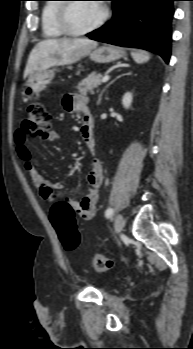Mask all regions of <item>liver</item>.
<instances>
[{
    "label": "liver",
    "instance_id": "liver-1",
    "mask_svg": "<svg viewBox=\"0 0 193 349\" xmlns=\"http://www.w3.org/2000/svg\"><path fill=\"white\" fill-rule=\"evenodd\" d=\"M97 42L83 38L46 39L32 49L24 71V78L36 71L58 65L73 64L97 47Z\"/></svg>",
    "mask_w": 193,
    "mask_h": 349
}]
</instances>
